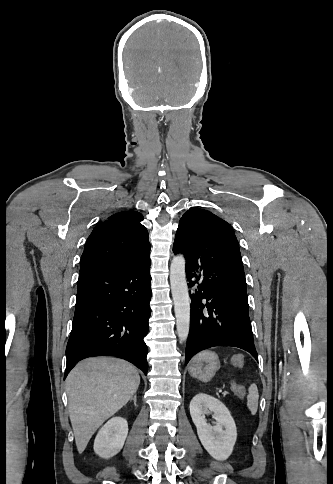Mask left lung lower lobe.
Segmentation results:
<instances>
[{
	"label": "left lung lower lobe",
	"mask_w": 333,
	"mask_h": 484,
	"mask_svg": "<svg viewBox=\"0 0 333 484\" xmlns=\"http://www.w3.org/2000/svg\"><path fill=\"white\" fill-rule=\"evenodd\" d=\"M173 252L184 253L192 293L185 364L196 353L215 346L244 349L258 361L235 234L228 230L197 231L191 224L181 223Z\"/></svg>",
	"instance_id": "obj_1"
}]
</instances>
